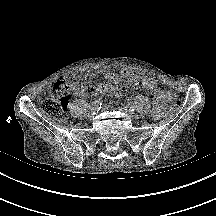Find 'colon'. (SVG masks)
<instances>
[{"label": "colon", "mask_w": 216, "mask_h": 216, "mask_svg": "<svg viewBox=\"0 0 216 216\" xmlns=\"http://www.w3.org/2000/svg\"><path fill=\"white\" fill-rule=\"evenodd\" d=\"M77 85V76L74 74L59 78L51 88L50 97L42 102V111L56 120H65L68 97ZM168 101L171 111L180 109L181 101L175 93L168 92Z\"/></svg>", "instance_id": "5ec220e1"}]
</instances>
